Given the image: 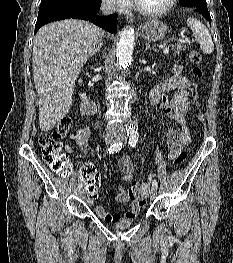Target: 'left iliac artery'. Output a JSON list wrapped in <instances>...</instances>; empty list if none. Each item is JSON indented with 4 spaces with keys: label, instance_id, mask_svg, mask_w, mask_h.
<instances>
[{
    "label": "left iliac artery",
    "instance_id": "44dca946",
    "mask_svg": "<svg viewBox=\"0 0 233 263\" xmlns=\"http://www.w3.org/2000/svg\"><path fill=\"white\" fill-rule=\"evenodd\" d=\"M128 136H129V144L131 147H135L138 141V133L136 130H130L128 132ZM153 187H158V182L156 180H153L152 182Z\"/></svg>",
    "mask_w": 233,
    "mask_h": 263
}]
</instances>
